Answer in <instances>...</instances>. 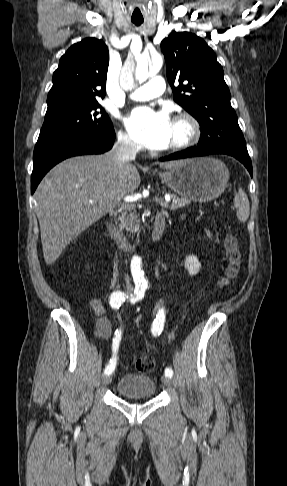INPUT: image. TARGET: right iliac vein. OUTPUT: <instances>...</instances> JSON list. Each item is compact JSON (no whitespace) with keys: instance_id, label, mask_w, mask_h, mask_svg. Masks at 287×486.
Segmentation results:
<instances>
[{"instance_id":"obj_1","label":"right iliac vein","mask_w":287,"mask_h":486,"mask_svg":"<svg viewBox=\"0 0 287 486\" xmlns=\"http://www.w3.org/2000/svg\"><path fill=\"white\" fill-rule=\"evenodd\" d=\"M111 380H112L111 375H106L102 379V384L103 385H108V384H110Z\"/></svg>"}]
</instances>
